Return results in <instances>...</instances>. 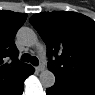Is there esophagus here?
Instances as JSON below:
<instances>
[{
	"label": "esophagus",
	"mask_w": 95,
	"mask_h": 95,
	"mask_svg": "<svg viewBox=\"0 0 95 95\" xmlns=\"http://www.w3.org/2000/svg\"><path fill=\"white\" fill-rule=\"evenodd\" d=\"M37 71H43L45 69V65L42 63L35 68Z\"/></svg>",
	"instance_id": "34e87169"
}]
</instances>
